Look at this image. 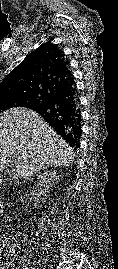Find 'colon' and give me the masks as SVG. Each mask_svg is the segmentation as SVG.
Here are the masks:
<instances>
[{"label": "colon", "mask_w": 118, "mask_h": 269, "mask_svg": "<svg viewBox=\"0 0 118 269\" xmlns=\"http://www.w3.org/2000/svg\"><path fill=\"white\" fill-rule=\"evenodd\" d=\"M0 200V208H1ZM15 246V241L11 238H4L0 241V265L9 263L13 258V249Z\"/></svg>", "instance_id": "5ec220e1"}]
</instances>
